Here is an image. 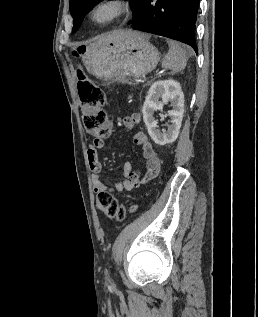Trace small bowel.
Listing matches in <instances>:
<instances>
[{
    "label": "small bowel",
    "instance_id": "c3829d8e",
    "mask_svg": "<svg viewBox=\"0 0 258 317\" xmlns=\"http://www.w3.org/2000/svg\"><path fill=\"white\" fill-rule=\"evenodd\" d=\"M140 118L141 117L138 113H133L121 119V124L128 129H132L140 122ZM134 142L143 150V156L146 160V173L144 177H142L138 171L133 169L132 163L130 161H126L123 164V178L113 186H108L101 179L102 165L99 160V149L105 145V139L94 138L89 143L87 157L92 173L93 190L96 193L130 191L146 181L153 179L159 174L161 166L160 158L148 135L142 131L137 132L134 136Z\"/></svg>",
    "mask_w": 258,
    "mask_h": 317
}]
</instances>
